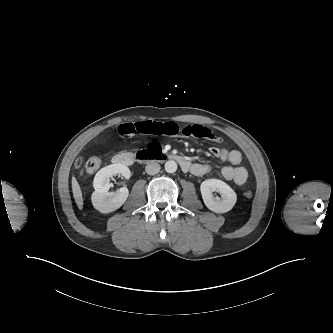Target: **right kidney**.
Here are the masks:
<instances>
[{"mask_svg": "<svg viewBox=\"0 0 333 333\" xmlns=\"http://www.w3.org/2000/svg\"><path fill=\"white\" fill-rule=\"evenodd\" d=\"M121 174L125 178L131 176L130 170L123 164L108 165L99 170L93 181L94 192L91 201L94 208L102 213H109L120 208L126 201L129 191L126 187L117 190L116 193L109 192L111 187L110 178Z\"/></svg>", "mask_w": 333, "mask_h": 333, "instance_id": "obj_1", "label": "right kidney"}]
</instances>
